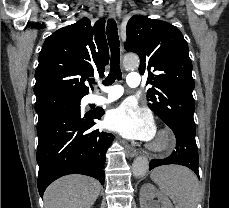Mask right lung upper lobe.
<instances>
[{
    "label": "right lung upper lobe",
    "instance_id": "1",
    "mask_svg": "<svg viewBox=\"0 0 229 208\" xmlns=\"http://www.w3.org/2000/svg\"><path fill=\"white\" fill-rule=\"evenodd\" d=\"M105 20L92 27L83 17L55 31L44 42L35 72L37 101L56 97H83L89 93L86 79L95 73L104 75L109 62Z\"/></svg>",
    "mask_w": 229,
    "mask_h": 208
}]
</instances>
